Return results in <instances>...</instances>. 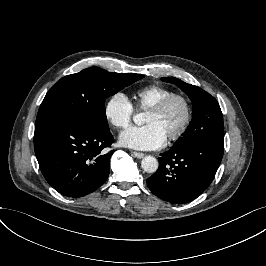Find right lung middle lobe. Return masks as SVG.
Instances as JSON below:
<instances>
[{"instance_id": "dd1d6c3e", "label": "right lung middle lobe", "mask_w": 266, "mask_h": 266, "mask_svg": "<svg viewBox=\"0 0 266 266\" xmlns=\"http://www.w3.org/2000/svg\"><path fill=\"white\" fill-rule=\"evenodd\" d=\"M140 74H118L90 67L60 79L46 94L36 124L57 115H68L94 129L109 130L105 100L142 79Z\"/></svg>"}]
</instances>
